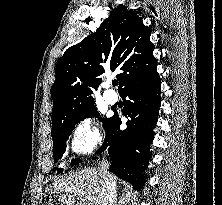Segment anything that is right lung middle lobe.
Instances as JSON below:
<instances>
[{
	"instance_id": "dd1d6c3e",
	"label": "right lung middle lobe",
	"mask_w": 222,
	"mask_h": 205,
	"mask_svg": "<svg viewBox=\"0 0 222 205\" xmlns=\"http://www.w3.org/2000/svg\"><path fill=\"white\" fill-rule=\"evenodd\" d=\"M89 117H98V119L103 122L104 129L107 128L108 124L111 121V118H99V113L96 110L95 105H91L74 115H71L56 122H52L51 135L53 138V156L55 158V161L63 156L66 150V141L68 140L69 135H71L74 126L78 122ZM80 161V159H75L72 160L71 164L75 165L78 164ZM54 171H56V168H54ZM61 172H63V169L58 168L57 173Z\"/></svg>"
}]
</instances>
